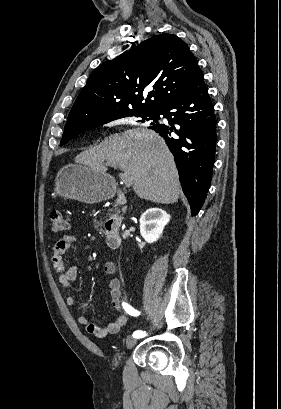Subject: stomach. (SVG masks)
Instances as JSON below:
<instances>
[{
    "instance_id": "obj_1",
    "label": "stomach",
    "mask_w": 281,
    "mask_h": 409,
    "mask_svg": "<svg viewBox=\"0 0 281 409\" xmlns=\"http://www.w3.org/2000/svg\"><path fill=\"white\" fill-rule=\"evenodd\" d=\"M54 190L64 198H75L93 205V202L112 198L116 192V182L108 174L88 164H66L55 178Z\"/></svg>"
}]
</instances>
